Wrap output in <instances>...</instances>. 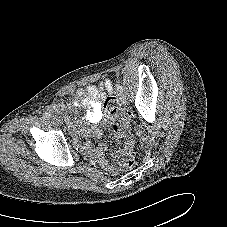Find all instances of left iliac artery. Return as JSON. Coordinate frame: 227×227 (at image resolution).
Listing matches in <instances>:
<instances>
[{
    "label": "left iliac artery",
    "mask_w": 227,
    "mask_h": 227,
    "mask_svg": "<svg viewBox=\"0 0 227 227\" xmlns=\"http://www.w3.org/2000/svg\"><path fill=\"white\" fill-rule=\"evenodd\" d=\"M117 90L122 93L123 92V87L121 85H116Z\"/></svg>",
    "instance_id": "44dca946"
}]
</instances>
